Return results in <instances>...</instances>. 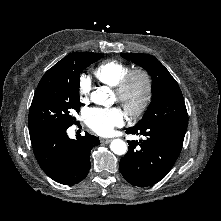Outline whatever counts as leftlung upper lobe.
Masks as SVG:
<instances>
[{
    "mask_svg": "<svg viewBox=\"0 0 221 221\" xmlns=\"http://www.w3.org/2000/svg\"><path fill=\"white\" fill-rule=\"evenodd\" d=\"M122 57L140 65L152 77V101L142 119L135 125L146 127L172 122L177 110L185 106L178 83L169 71L154 57L141 53H122Z\"/></svg>",
    "mask_w": 221,
    "mask_h": 221,
    "instance_id": "1",
    "label": "left lung upper lobe"
}]
</instances>
